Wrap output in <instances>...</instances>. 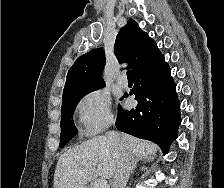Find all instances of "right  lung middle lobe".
I'll return each mask as SVG.
<instances>
[{
	"label": "right lung middle lobe",
	"mask_w": 224,
	"mask_h": 188,
	"mask_svg": "<svg viewBox=\"0 0 224 188\" xmlns=\"http://www.w3.org/2000/svg\"><path fill=\"white\" fill-rule=\"evenodd\" d=\"M99 88L100 87L63 95L62 107H61L62 120H61L60 147L65 146V144L77 134V129L72 121L76 105L85 95Z\"/></svg>",
	"instance_id": "obj_1"
}]
</instances>
